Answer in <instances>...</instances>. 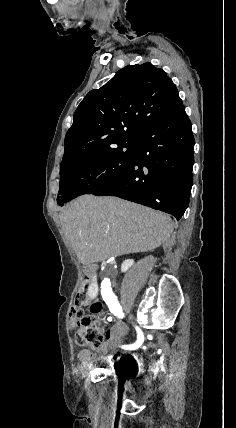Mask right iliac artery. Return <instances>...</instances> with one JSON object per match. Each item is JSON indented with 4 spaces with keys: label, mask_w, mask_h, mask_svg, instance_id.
<instances>
[{
    "label": "right iliac artery",
    "mask_w": 236,
    "mask_h": 428,
    "mask_svg": "<svg viewBox=\"0 0 236 428\" xmlns=\"http://www.w3.org/2000/svg\"><path fill=\"white\" fill-rule=\"evenodd\" d=\"M103 300L109 307L110 312H112L115 316L119 318L124 317V313L122 312V307L117 300V297L113 292H101ZM137 331V341L131 345H123L121 348L126 350H135L138 349L142 343L144 342V334L139 327H136Z\"/></svg>",
    "instance_id": "right-iliac-artery-1"
}]
</instances>
